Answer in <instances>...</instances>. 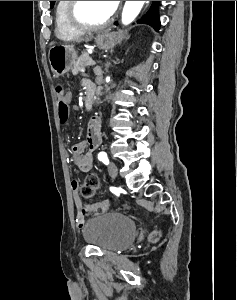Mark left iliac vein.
I'll return each mask as SVG.
<instances>
[{
  "label": "left iliac vein",
  "instance_id": "1",
  "mask_svg": "<svg viewBox=\"0 0 237 300\" xmlns=\"http://www.w3.org/2000/svg\"><path fill=\"white\" fill-rule=\"evenodd\" d=\"M108 172H109V175L112 178L117 177V175H118V169H117V166H116L115 163H113V162L109 163V165H108Z\"/></svg>",
  "mask_w": 237,
  "mask_h": 300
}]
</instances>
